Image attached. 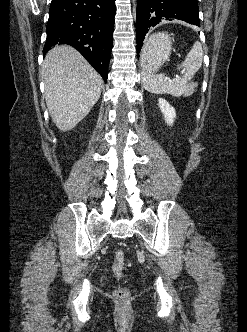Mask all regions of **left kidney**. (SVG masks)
<instances>
[{
	"label": "left kidney",
	"instance_id": "left-kidney-1",
	"mask_svg": "<svg viewBox=\"0 0 247 332\" xmlns=\"http://www.w3.org/2000/svg\"><path fill=\"white\" fill-rule=\"evenodd\" d=\"M158 105L162 114L164 115L165 122L167 125L171 126L176 117L175 109L165 99L162 98H159Z\"/></svg>",
	"mask_w": 247,
	"mask_h": 332
}]
</instances>
